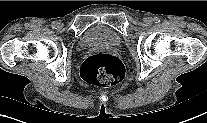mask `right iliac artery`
Instances as JSON below:
<instances>
[{
    "label": "right iliac artery",
    "instance_id": "82829eb1",
    "mask_svg": "<svg viewBox=\"0 0 207 123\" xmlns=\"http://www.w3.org/2000/svg\"><path fill=\"white\" fill-rule=\"evenodd\" d=\"M59 27V23L57 21L52 22V28L57 29Z\"/></svg>",
    "mask_w": 207,
    "mask_h": 123
}]
</instances>
